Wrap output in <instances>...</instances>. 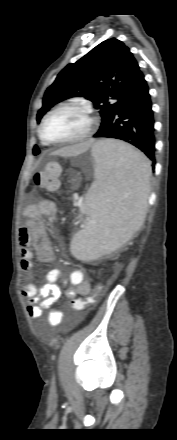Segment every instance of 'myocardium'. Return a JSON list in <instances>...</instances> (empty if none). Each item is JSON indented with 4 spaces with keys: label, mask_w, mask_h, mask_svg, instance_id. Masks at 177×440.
<instances>
[{
    "label": "myocardium",
    "mask_w": 177,
    "mask_h": 440,
    "mask_svg": "<svg viewBox=\"0 0 177 440\" xmlns=\"http://www.w3.org/2000/svg\"><path fill=\"white\" fill-rule=\"evenodd\" d=\"M65 109H72V110H76V111L83 113L88 120V126H87L86 130L80 136L75 137V138L66 139V140H62V141L47 140L43 134V130H44L46 122L53 114H55L58 111L65 110ZM95 127H96V120L92 116L90 110L87 107H85L83 105H79V104L65 103V104H61V105L55 107L54 109H52L50 112H48L45 115V117L43 118V120L41 121V124L39 126L38 135H39L40 140L46 145H55V146L67 145V144H74V143L84 141L85 139H87L88 137H90L92 135Z\"/></svg>",
    "instance_id": "myocardium-1"
}]
</instances>
